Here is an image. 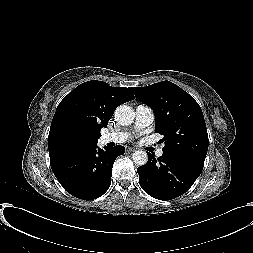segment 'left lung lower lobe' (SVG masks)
I'll list each match as a JSON object with an SVG mask.
<instances>
[{"label":"left lung lower lobe","mask_w":253,"mask_h":253,"mask_svg":"<svg viewBox=\"0 0 253 253\" xmlns=\"http://www.w3.org/2000/svg\"><path fill=\"white\" fill-rule=\"evenodd\" d=\"M147 154V163L137 169L139 183L147 194L159 200H171L187 192L204 165L175 154L163 152L158 159Z\"/></svg>","instance_id":"0a47b994"}]
</instances>
